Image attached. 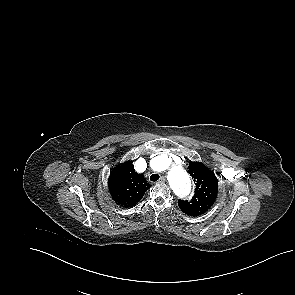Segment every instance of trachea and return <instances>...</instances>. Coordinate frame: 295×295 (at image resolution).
<instances>
[{"label": "trachea", "instance_id": "obj_1", "mask_svg": "<svg viewBox=\"0 0 295 295\" xmlns=\"http://www.w3.org/2000/svg\"><path fill=\"white\" fill-rule=\"evenodd\" d=\"M159 178H160V177H159L158 174H152V175L150 176V180L153 181V182L158 181Z\"/></svg>", "mask_w": 295, "mask_h": 295}]
</instances>
